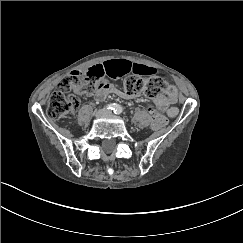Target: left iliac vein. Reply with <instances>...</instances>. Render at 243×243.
<instances>
[{
    "instance_id": "4c4485c4",
    "label": "left iliac vein",
    "mask_w": 243,
    "mask_h": 243,
    "mask_svg": "<svg viewBox=\"0 0 243 243\" xmlns=\"http://www.w3.org/2000/svg\"><path fill=\"white\" fill-rule=\"evenodd\" d=\"M105 114H106V115H110L111 112H110V111H106Z\"/></svg>"
}]
</instances>
